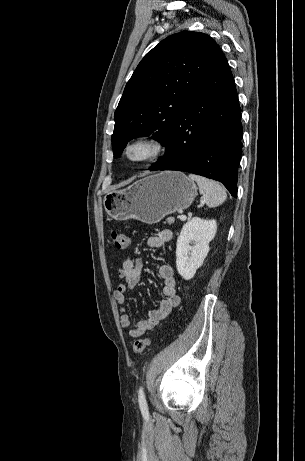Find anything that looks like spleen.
Returning a JSON list of instances; mask_svg holds the SVG:
<instances>
[{"instance_id":"1","label":"spleen","mask_w":305,"mask_h":461,"mask_svg":"<svg viewBox=\"0 0 305 461\" xmlns=\"http://www.w3.org/2000/svg\"><path fill=\"white\" fill-rule=\"evenodd\" d=\"M189 179L198 184L199 191L204 196L208 207H217L226 200V191L219 183L195 174H189Z\"/></svg>"}]
</instances>
